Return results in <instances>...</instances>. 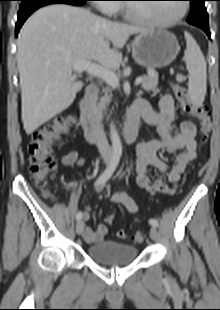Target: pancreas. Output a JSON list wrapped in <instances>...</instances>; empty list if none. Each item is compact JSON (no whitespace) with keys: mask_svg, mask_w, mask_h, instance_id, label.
<instances>
[{"mask_svg":"<svg viewBox=\"0 0 220 310\" xmlns=\"http://www.w3.org/2000/svg\"><path fill=\"white\" fill-rule=\"evenodd\" d=\"M158 84V73L154 69L148 70V76H145L142 81V88L145 91H153L154 94H157L160 92V90L157 88ZM112 94H108V91L105 92L104 96L101 97L99 103L95 105V113L98 116H102L103 111H105L106 106L109 104L111 100Z\"/></svg>","mask_w":220,"mask_h":310,"instance_id":"obj_1","label":"pancreas"}]
</instances>
